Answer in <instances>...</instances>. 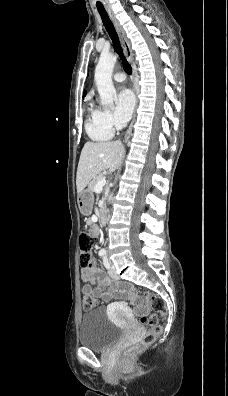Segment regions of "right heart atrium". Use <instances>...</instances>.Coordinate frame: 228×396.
Returning <instances> with one entry per match:
<instances>
[{
	"label": "right heart atrium",
	"instance_id": "d8ad5b80",
	"mask_svg": "<svg viewBox=\"0 0 228 396\" xmlns=\"http://www.w3.org/2000/svg\"><path fill=\"white\" fill-rule=\"evenodd\" d=\"M100 117L105 126L112 130L119 129L122 124L109 110H99Z\"/></svg>",
	"mask_w": 228,
	"mask_h": 396
}]
</instances>
